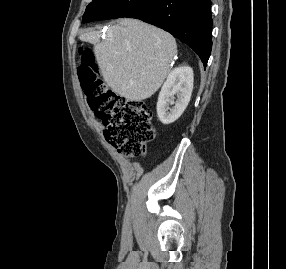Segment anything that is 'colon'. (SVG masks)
Instances as JSON below:
<instances>
[{"label":"colon","instance_id":"5ec220e1","mask_svg":"<svg viewBox=\"0 0 286 269\" xmlns=\"http://www.w3.org/2000/svg\"><path fill=\"white\" fill-rule=\"evenodd\" d=\"M78 73L91 109L106 127V139L127 157L143 156L145 144L155 136L152 112L146 103L123 99L108 90L98 77L90 52H82Z\"/></svg>","mask_w":286,"mask_h":269}]
</instances>
